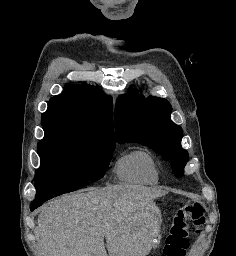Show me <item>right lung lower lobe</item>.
Segmentation results:
<instances>
[{"instance_id":"98d812e1","label":"right lung lower lobe","mask_w":236,"mask_h":256,"mask_svg":"<svg viewBox=\"0 0 236 256\" xmlns=\"http://www.w3.org/2000/svg\"><path fill=\"white\" fill-rule=\"evenodd\" d=\"M45 201H47V200H43V201H39V202H32L31 203V207H30V209H31V211H33L34 209H36L37 207H39L41 204H43Z\"/></svg>"}]
</instances>
